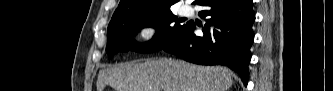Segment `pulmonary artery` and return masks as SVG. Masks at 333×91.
<instances>
[{"instance_id": "pulmonary-artery-1", "label": "pulmonary artery", "mask_w": 333, "mask_h": 91, "mask_svg": "<svg viewBox=\"0 0 333 91\" xmlns=\"http://www.w3.org/2000/svg\"><path fill=\"white\" fill-rule=\"evenodd\" d=\"M191 12L190 8L188 6H182L180 8V13L182 15H188Z\"/></svg>"}]
</instances>
